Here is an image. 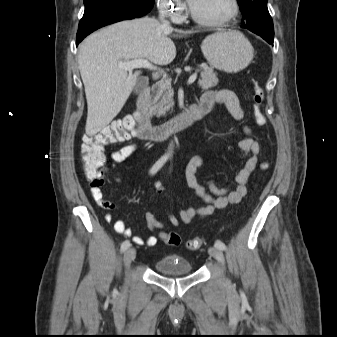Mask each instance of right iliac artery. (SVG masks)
Instances as JSON below:
<instances>
[{
	"instance_id": "82829eb1",
	"label": "right iliac artery",
	"mask_w": 337,
	"mask_h": 337,
	"mask_svg": "<svg viewBox=\"0 0 337 337\" xmlns=\"http://www.w3.org/2000/svg\"><path fill=\"white\" fill-rule=\"evenodd\" d=\"M167 161V156H163L161 157L150 169V174L154 175L163 165L164 163ZM130 242L128 240L124 241L121 244V252L126 251L129 247H130Z\"/></svg>"
}]
</instances>
